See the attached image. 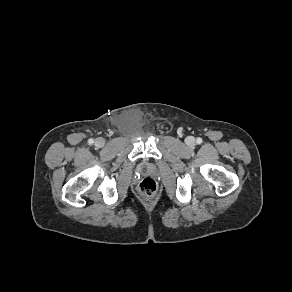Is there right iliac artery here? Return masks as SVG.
Returning a JSON list of instances; mask_svg holds the SVG:
<instances>
[{
    "mask_svg": "<svg viewBox=\"0 0 292 292\" xmlns=\"http://www.w3.org/2000/svg\"><path fill=\"white\" fill-rule=\"evenodd\" d=\"M88 143L89 144H93L94 143V140L93 139H89Z\"/></svg>",
    "mask_w": 292,
    "mask_h": 292,
    "instance_id": "right-iliac-artery-1",
    "label": "right iliac artery"
}]
</instances>
